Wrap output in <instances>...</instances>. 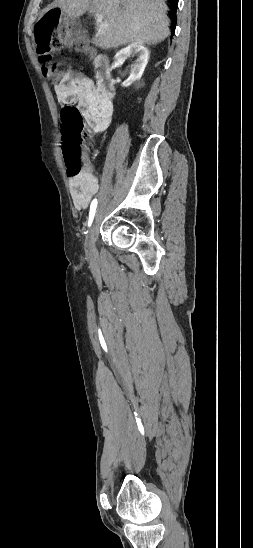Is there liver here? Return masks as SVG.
<instances>
[{
    "label": "liver",
    "instance_id": "liver-1",
    "mask_svg": "<svg viewBox=\"0 0 253 548\" xmlns=\"http://www.w3.org/2000/svg\"><path fill=\"white\" fill-rule=\"evenodd\" d=\"M76 18L89 12L103 17L92 43L102 49L130 43L157 44L169 34L167 5L162 0H54L49 9ZM99 26V25H98Z\"/></svg>",
    "mask_w": 253,
    "mask_h": 548
}]
</instances>
